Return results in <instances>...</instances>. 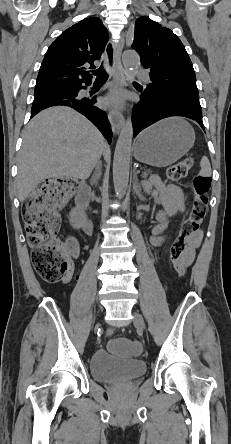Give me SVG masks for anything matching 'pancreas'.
<instances>
[{
	"instance_id": "1",
	"label": "pancreas",
	"mask_w": 231,
	"mask_h": 444,
	"mask_svg": "<svg viewBox=\"0 0 231 444\" xmlns=\"http://www.w3.org/2000/svg\"><path fill=\"white\" fill-rule=\"evenodd\" d=\"M152 171L150 169H143L142 177L147 178L149 175H151Z\"/></svg>"
}]
</instances>
